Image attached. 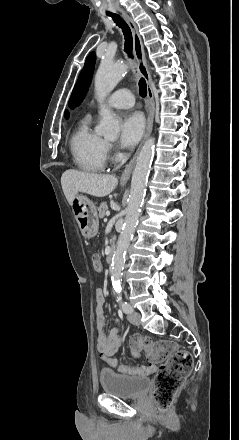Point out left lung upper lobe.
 <instances>
[{
	"label": "left lung upper lobe",
	"instance_id": "5c2ea615",
	"mask_svg": "<svg viewBox=\"0 0 239 440\" xmlns=\"http://www.w3.org/2000/svg\"><path fill=\"white\" fill-rule=\"evenodd\" d=\"M95 62H96L95 52H91L86 58L84 68L82 69L78 77L77 83L71 94L69 100L70 108L76 107L78 104H80L81 100L84 98L88 86L90 85L91 82V77L94 71Z\"/></svg>",
	"mask_w": 239,
	"mask_h": 440
}]
</instances>
